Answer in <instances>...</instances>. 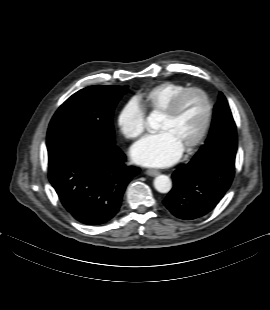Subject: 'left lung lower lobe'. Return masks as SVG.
<instances>
[{
  "label": "left lung lower lobe",
  "mask_w": 270,
  "mask_h": 310,
  "mask_svg": "<svg viewBox=\"0 0 270 310\" xmlns=\"http://www.w3.org/2000/svg\"><path fill=\"white\" fill-rule=\"evenodd\" d=\"M234 174L232 165L192 159L172 174L173 188L163 203L177 218H200L211 212L223 198Z\"/></svg>",
  "instance_id": "left-lung-lower-lobe-1"
}]
</instances>
